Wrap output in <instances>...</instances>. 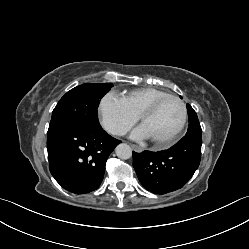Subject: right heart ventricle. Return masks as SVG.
Instances as JSON below:
<instances>
[{"label": "right heart ventricle", "instance_id": "1", "mask_svg": "<svg viewBox=\"0 0 249 249\" xmlns=\"http://www.w3.org/2000/svg\"><path fill=\"white\" fill-rule=\"evenodd\" d=\"M167 95H169L167 92L156 88H139L123 93L121 99L131 112L139 116L146 106Z\"/></svg>", "mask_w": 249, "mask_h": 249}]
</instances>
